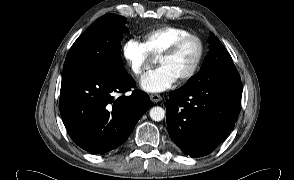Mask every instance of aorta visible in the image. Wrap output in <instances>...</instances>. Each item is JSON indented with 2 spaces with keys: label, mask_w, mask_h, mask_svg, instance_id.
<instances>
[{
  "label": "aorta",
  "mask_w": 294,
  "mask_h": 180,
  "mask_svg": "<svg viewBox=\"0 0 294 180\" xmlns=\"http://www.w3.org/2000/svg\"><path fill=\"white\" fill-rule=\"evenodd\" d=\"M149 115L154 121H161L165 117V110L162 107L155 106L151 108Z\"/></svg>",
  "instance_id": "aorta-1"
}]
</instances>
